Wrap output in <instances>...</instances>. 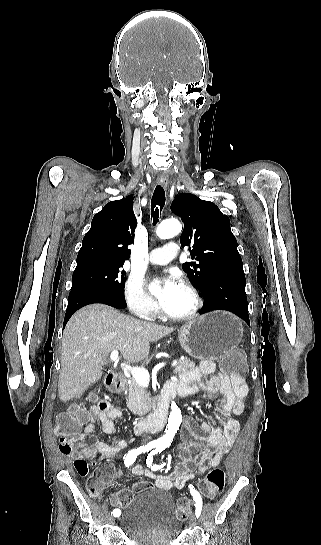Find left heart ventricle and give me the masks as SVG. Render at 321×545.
<instances>
[{"instance_id":"b2bd125f","label":"left heart ventricle","mask_w":321,"mask_h":545,"mask_svg":"<svg viewBox=\"0 0 321 545\" xmlns=\"http://www.w3.org/2000/svg\"><path fill=\"white\" fill-rule=\"evenodd\" d=\"M194 307L192 295L182 287L179 288L169 307L165 310L170 314H187Z\"/></svg>"}]
</instances>
